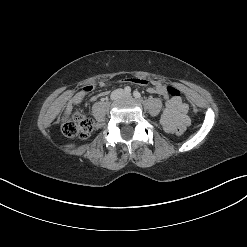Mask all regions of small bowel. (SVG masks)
Listing matches in <instances>:
<instances>
[{
	"label": "small bowel",
	"instance_id": "1",
	"mask_svg": "<svg viewBox=\"0 0 247 247\" xmlns=\"http://www.w3.org/2000/svg\"><path fill=\"white\" fill-rule=\"evenodd\" d=\"M129 81L142 86H148V92L164 97L165 108L161 114V123L166 132L173 133L177 126L186 127L190 124L188 104L184 103L181 98L169 97L166 86L163 83L158 81H149L144 78H131ZM98 86L104 87L105 82H99ZM96 87V84H88L74 93L67 102L65 115H69L75 104L82 101ZM99 96L100 95L91 97L90 101H95Z\"/></svg>",
	"mask_w": 247,
	"mask_h": 247
}]
</instances>
